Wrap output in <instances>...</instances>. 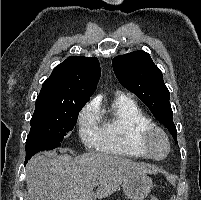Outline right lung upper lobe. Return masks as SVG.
<instances>
[{
	"label": "right lung upper lobe",
	"mask_w": 201,
	"mask_h": 200,
	"mask_svg": "<svg viewBox=\"0 0 201 200\" xmlns=\"http://www.w3.org/2000/svg\"><path fill=\"white\" fill-rule=\"evenodd\" d=\"M100 76V64L96 57L70 56L53 69L38 96L62 100H89Z\"/></svg>",
	"instance_id": "obj_1"
}]
</instances>
